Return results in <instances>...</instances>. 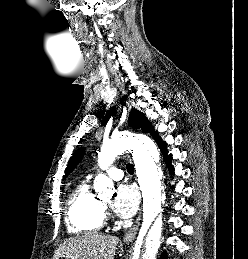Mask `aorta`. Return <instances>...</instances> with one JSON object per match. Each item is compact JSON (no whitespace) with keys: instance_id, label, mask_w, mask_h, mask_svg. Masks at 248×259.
I'll return each instance as SVG.
<instances>
[{"instance_id":"obj_1","label":"aorta","mask_w":248,"mask_h":259,"mask_svg":"<svg viewBox=\"0 0 248 259\" xmlns=\"http://www.w3.org/2000/svg\"><path fill=\"white\" fill-rule=\"evenodd\" d=\"M126 150L132 151L138 182L143 198V223L136 243L133 259H155L162 235V171L157 166L159 151L155 143L146 136L134 137L130 134L113 136L103 143L98 156L102 170L107 169L116 156ZM113 182L99 174L94 180V189L99 195L111 192ZM145 237L144 252L140 253L142 238Z\"/></svg>"}]
</instances>
